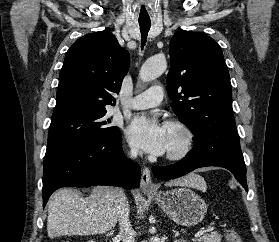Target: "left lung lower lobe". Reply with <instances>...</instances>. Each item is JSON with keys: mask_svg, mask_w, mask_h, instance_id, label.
Instances as JSON below:
<instances>
[{"mask_svg": "<svg viewBox=\"0 0 279 242\" xmlns=\"http://www.w3.org/2000/svg\"><path fill=\"white\" fill-rule=\"evenodd\" d=\"M206 166H219L231 171L237 181L248 191L246 182V166L225 157H188L181 161L167 166H154L152 168L155 177L161 181H167L183 176L197 168Z\"/></svg>", "mask_w": 279, "mask_h": 242, "instance_id": "obj_1", "label": "left lung lower lobe"}]
</instances>
